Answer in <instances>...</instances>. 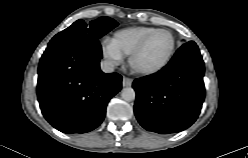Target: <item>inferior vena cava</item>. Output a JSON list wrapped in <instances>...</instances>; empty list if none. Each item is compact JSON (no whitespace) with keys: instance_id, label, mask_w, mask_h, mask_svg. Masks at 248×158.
<instances>
[{"instance_id":"obj_1","label":"inferior vena cava","mask_w":248,"mask_h":158,"mask_svg":"<svg viewBox=\"0 0 248 158\" xmlns=\"http://www.w3.org/2000/svg\"><path fill=\"white\" fill-rule=\"evenodd\" d=\"M100 66H101V70L104 73H112L114 71L115 65L112 61L104 60V61H101Z\"/></svg>"}]
</instances>
